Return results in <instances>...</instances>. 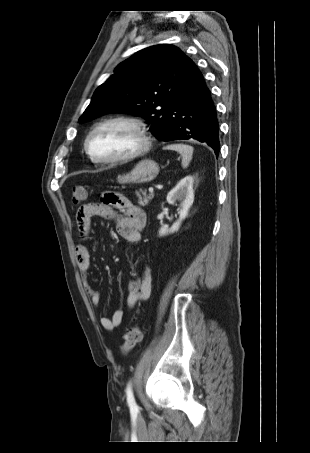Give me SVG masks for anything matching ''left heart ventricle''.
Masks as SVG:
<instances>
[{
    "instance_id": "obj_1",
    "label": "left heart ventricle",
    "mask_w": 310,
    "mask_h": 453,
    "mask_svg": "<svg viewBox=\"0 0 310 453\" xmlns=\"http://www.w3.org/2000/svg\"><path fill=\"white\" fill-rule=\"evenodd\" d=\"M140 146V139L132 126L113 123L99 129L91 138L92 152L103 158L127 155Z\"/></svg>"
}]
</instances>
